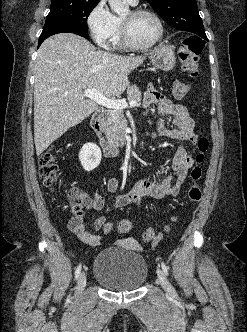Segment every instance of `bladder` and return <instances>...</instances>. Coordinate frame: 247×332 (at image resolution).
Wrapping results in <instances>:
<instances>
[{"label":"bladder","mask_w":247,"mask_h":332,"mask_svg":"<svg viewBox=\"0 0 247 332\" xmlns=\"http://www.w3.org/2000/svg\"><path fill=\"white\" fill-rule=\"evenodd\" d=\"M147 275L145 259L131 247H107L98 253L94 261V279L111 291L137 290L144 284Z\"/></svg>","instance_id":"1"}]
</instances>
